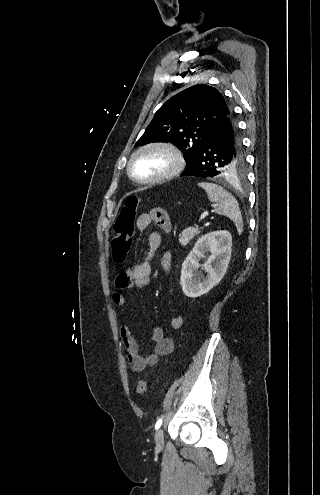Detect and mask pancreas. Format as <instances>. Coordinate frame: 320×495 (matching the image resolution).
I'll use <instances>...</instances> for the list:
<instances>
[{"label":"pancreas","mask_w":320,"mask_h":495,"mask_svg":"<svg viewBox=\"0 0 320 495\" xmlns=\"http://www.w3.org/2000/svg\"><path fill=\"white\" fill-rule=\"evenodd\" d=\"M200 233L198 227H188L185 229L181 235L179 236V242L182 246H186L190 240L194 238V236L198 235Z\"/></svg>","instance_id":"obj_1"}]
</instances>
